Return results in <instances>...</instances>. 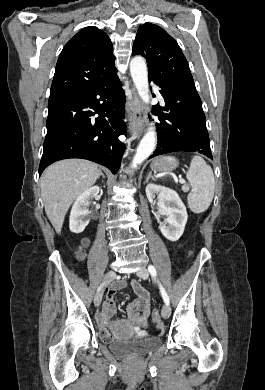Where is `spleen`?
<instances>
[{
    "label": "spleen",
    "instance_id": "obj_1",
    "mask_svg": "<svg viewBox=\"0 0 265 390\" xmlns=\"http://www.w3.org/2000/svg\"><path fill=\"white\" fill-rule=\"evenodd\" d=\"M186 177L192 187L187 196L190 210L196 214L202 213L210 206L215 191V180L212 168L205 160L193 156Z\"/></svg>",
    "mask_w": 265,
    "mask_h": 390
}]
</instances>
